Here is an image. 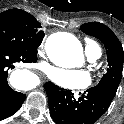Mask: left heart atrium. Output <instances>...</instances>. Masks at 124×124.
I'll return each mask as SVG.
<instances>
[{"instance_id": "left-heart-atrium-1", "label": "left heart atrium", "mask_w": 124, "mask_h": 124, "mask_svg": "<svg viewBox=\"0 0 124 124\" xmlns=\"http://www.w3.org/2000/svg\"><path fill=\"white\" fill-rule=\"evenodd\" d=\"M47 75L54 83L67 89L84 88L91 82L89 73L84 70L49 68Z\"/></svg>"}]
</instances>
